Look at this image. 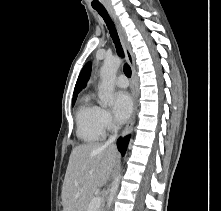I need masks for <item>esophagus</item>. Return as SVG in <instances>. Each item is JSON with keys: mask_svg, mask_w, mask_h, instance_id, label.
<instances>
[{"mask_svg": "<svg viewBox=\"0 0 221 211\" xmlns=\"http://www.w3.org/2000/svg\"><path fill=\"white\" fill-rule=\"evenodd\" d=\"M111 16L114 19V22L116 24L118 33H119V37H120V41L126 56V59L131 67L132 70V101H133V112L132 115L130 117V119L128 120L123 132H122V136H126L130 130L133 127V124L135 122V117L137 114V110H138V97H137V93L135 90V75H136V70H135V57L134 54L131 51V47L129 45V42L127 40V36H126V32L125 29L123 28L122 24L120 23L119 19L117 18V16L113 13V11H109Z\"/></svg>", "mask_w": 221, "mask_h": 211, "instance_id": "obj_1", "label": "esophagus"}]
</instances>
